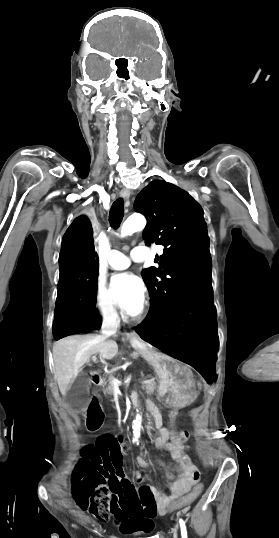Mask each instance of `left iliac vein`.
<instances>
[{"mask_svg": "<svg viewBox=\"0 0 279 538\" xmlns=\"http://www.w3.org/2000/svg\"><path fill=\"white\" fill-rule=\"evenodd\" d=\"M174 538H177V526L173 528Z\"/></svg>", "mask_w": 279, "mask_h": 538, "instance_id": "left-iliac-vein-1", "label": "left iliac vein"}]
</instances>
